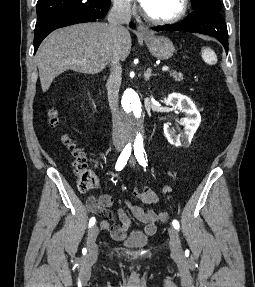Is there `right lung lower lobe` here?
<instances>
[{
    "instance_id": "98d812e1",
    "label": "right lung lower lobe",
    "mask_w": 255,
    "mask_h": 287,
    "mask_svg": "<svg viewBox=\"0 0 255 287\" xmlns=\"http://www.w3.org/2000/svg\"><path fill=\"white\" fill-rule=\"evenodd\" d=\"M97 19L85 12H66L50 16L43 20L37 21L34 30V53L37 51L42 40L53 30L68 25H73L83 22H95ZM130 27L135 28L134 24L130 23Z\"/></svg>"
}]
</instances>
